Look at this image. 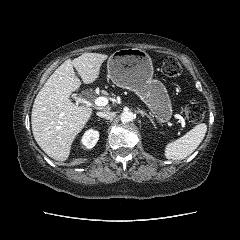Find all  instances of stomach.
Returning a JSON list of instances; mask_svg holds the SVG:
<instances>
[{
  "instance_id": "0dacf381",
  "label": "stomach",
  "mask_w": 240,
  "mask_h": 240,
  "mask_svg": "<svg viewBox=\"0 0 240 240\" xmlns=\"http://www.w3.org/2000/svg\"><path fill=\"white\" fill-rule=\"evenodd\" d=\"M109 78L121 88L136 93L160 123L172 116L169 95L163 83L153 79L150 56L138 48H123L114 52L108 62Z\"/></svg>"
}]
</instances>
